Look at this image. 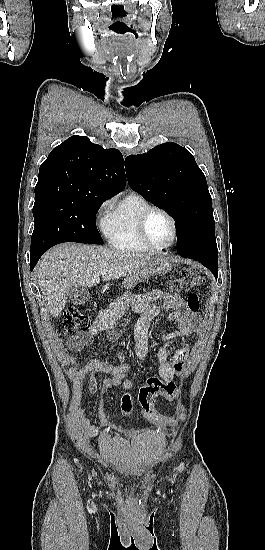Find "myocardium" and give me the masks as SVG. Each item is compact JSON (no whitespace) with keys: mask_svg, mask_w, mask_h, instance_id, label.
Wrapping results in <instances>:
<instances>
[{"mask_svg":"<svg viewBox=\"0 0 265 550\" xmlns=\"http://www.w3.org/2000/svg\"><path fill=\"white\" fill-rule=\"evenodd\" d=\"M154 212H160L162 214H164L170 221L171 223V226H172V238L171 240L167 243V244H164V245H156L154 244L149 236H148V233H147V222H148V219L149 217L154 213ZM137 230H138V235H139V238L140 240L142 241V243L148 248V249H151V250H165V249H168L170 248L175 242H176V239H177V236H178V228H177V222L175 220V218L173 217V215L168 212L166 209L164 208H161V207H158V206H151L147 209H145L142 214L140 215L139 219H138V224H137Z\"/></svg>","mask_w":265,"mask_h":550,"instance_id":"f54148a6","label":"myocardium"}]
</instances>
